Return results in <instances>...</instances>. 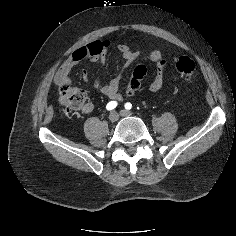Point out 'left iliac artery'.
<instances>
[{"instance_id": "44dca946", "label": "left iliac artery", "mask_w": 236, "mask_h": 236, "mask_svg": "<svg viewBox=\"0 0 236 236\" xmlns=\"http://www.w3.org/2000/svg\"><path fill=\"white\" fill-rule=\"evenodd\" d=\"M125 109L130 110L132 108V104L127 102L125 105Z\"/></svg>"}]
</instances>
